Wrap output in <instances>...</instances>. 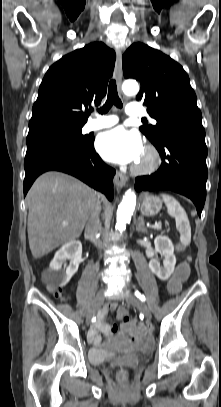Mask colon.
<instances>
[{
	"mask_svg": "<svg viewBox=\"0 0 221 407\" xmlns=\"http://www.w3.org/2000/svg\"><path fill=\"white\" fill-rule=\"evenodd\" d=\"M191 263L189 260H180L178 265H175L174 273L170 277V281L166 284L167 291L174 293L175 295H180L183 291L181 284H187L188 279L191 276ZM56 298L64 300L66 295L64 291H50ZM118 321L120 323L122 330H130L132 339L138 338L142 334V329L137 328L138 322L136 320H131V316L127 307L125 305H117L115 308ZM120 380L126 379V371L120 370L119 372Z\"/></svg>",
	"mask_w": 221,
	"mask_h": 407,
	"instance_id": "1",
	"label": "colon"
}]
</instances>
